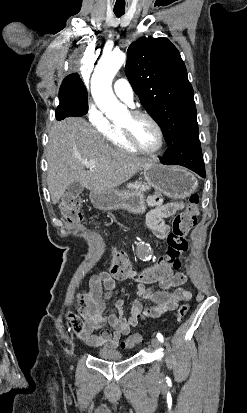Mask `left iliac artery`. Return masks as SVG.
Segmentation results:
<instances>
[{
	"label": "left iliac artery",
	"mask_w": 247,
	"mask_h": 413,
	"mask_svg": "<svg viewBox=\"0 0 247 413\" xmlns=\"http://www.w3.org/2000/svg\"><path fill=\"white\" fill-rule=\"evenodd\" d=\"M157 339H158L160 342H163V341H164L163 335H162L161 333H157Z\"/></svg>",
	"instance_id": "left-iliac-artery-1"
}]
</instances>
